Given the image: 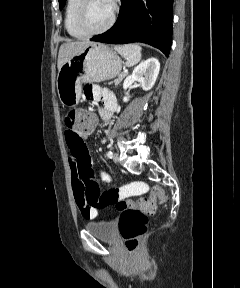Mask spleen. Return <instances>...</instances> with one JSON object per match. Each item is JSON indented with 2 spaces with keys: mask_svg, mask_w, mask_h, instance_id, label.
<instances>
[{
  "mask_svg": "<svg viewBox=\"0 0 240 288\" xmlns=\"http://www.w3.org/2000/svg\"><path fill=\"white\" fill-rule=\"evenodd\" d=\"M116 50L124 59L128 66H133L140 62L142 54V48L137 44H128L123 46H117Z\"/></svg>",
  "mask_w": 240,
  "mask_h": 288,
  "instance_id": "3e777b00",
  "label": "spleen"
}]
</instances>
